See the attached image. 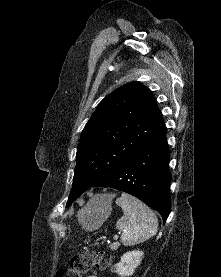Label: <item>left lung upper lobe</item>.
<instances>
[{
    "label": "left lung upper lobe",
    "mask_w": 221,
    "mask_h": 277,
    "mask_svg": "<svg viewBox=\"0 0 221 277\" xmlns=\"http://www.w3.org/2000/svg\"><path fill=\"white\" fill-rule=\"evenodd\" d=\"M163 126L153 93L140 82L127 83L106 96L81 134L67 205L107 176Z\"/></svg>",
    "instance_id": "left-lung-upper-lobe-1"
}]
</instances>
